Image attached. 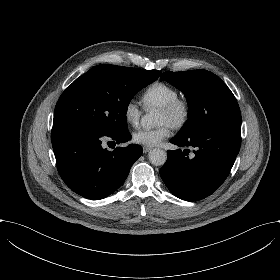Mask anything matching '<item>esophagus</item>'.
<instances>
[{
    "instance_id": "obj_1",
    "label": "esophagus",
    "mask_w": 280,
    "mask_h": 280,
    "mask_svg": "<svg viewBox=\"0 0 280 280\" xmlns=\"http://www.w3.org/2000/svg\"><path fill=\"white\" fill-rule=\"evenodd\" d=\"M152 148L149 146H143V152L148 153Z\"/></svg>"
}]
</instances>
